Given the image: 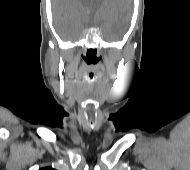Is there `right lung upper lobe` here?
<instances>
[{
	"label": "right lung upper lobe",
	"instance_id": "right-lung-upper-lobe-1",
	"mask_svg": "<svg viewBox=\"0 0 190 170\" xmlns=\"http://www.w3.org/2000/svg\"><path fill=\"white\" fill-rule=\"evenodd\" d=\"M39 170H55V169H53V168H51V167H45V168H41V169H39Z\"/></svg>",
	"mask_w": 190,
	"mask_h": 170
}]
</instances>
